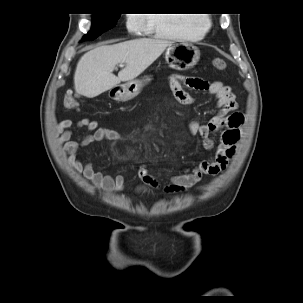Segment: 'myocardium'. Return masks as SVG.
Segmentation results:
<instances>
[{
  "mask_svg": "<svg viewBox=\"0 0 303 303\" xmlns=\"http://www.w3.org/2000/svg\"><path fill=\"white\" fill-rule=\"evenodd\" d=\"M211 27H212L211 19H209V18L200 19L199 28L202 33L208 31Z\"/></svg>",
  "mask_w": 303,
  "mask_h": 303,
  "instance_id": "obj_1",
  "label": "myocardium"
}]
</instances>
